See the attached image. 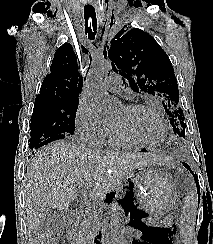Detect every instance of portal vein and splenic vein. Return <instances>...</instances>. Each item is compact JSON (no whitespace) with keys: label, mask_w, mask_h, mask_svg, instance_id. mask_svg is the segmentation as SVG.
<instances>
[{"label":"portal vein and splenic vein","mask_w":213,"mask_h":244,"mask_svg":"<svg viewBox=\"0 0 213 244\" xmlns=\"http://www.w3.org/2000/svg\"><path fill=\"white\" fill-rule=\"evenodd\" d=\"M83 185L85 186L84 189L90 186V184L88 185L87 183H83Z\"/></svg>","instance_id":"1"}]
</instances>
